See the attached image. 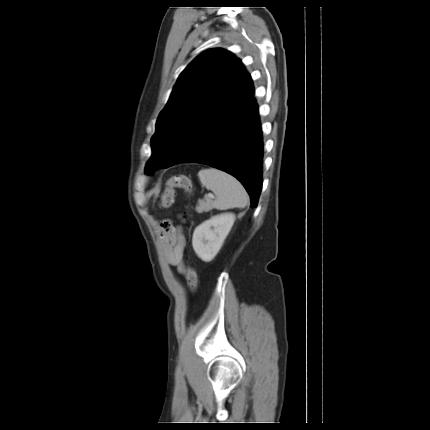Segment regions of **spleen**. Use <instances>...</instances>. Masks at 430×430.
Instances as JSON below:
<instances>
[{
  "label": "spleen",
  "instance_id": "spleen-1",
  "mask_svg": "<svg viewBox=\"0 0 430 430\" xmlns=\"http://www.w3.org/2000/svg\"><path fill=\"white\" fill-rule=\"evenodd\" d=\"M198 177L203 186L213 191L216 199L212 206L218 210L245 208L248 195L242 184L232 175L214 168L202 169Z\"/></svg>",
  "mask_w": 430,
  "mask_h": 430
}]
</instances>
